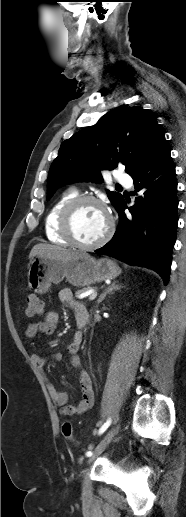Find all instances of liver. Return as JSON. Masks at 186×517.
<instances>
[{"mask_svg":"<svg viewBox=\"0 0 186 517\" xmlns=\"http://www.w3.org/2000/svg\"><path fill=\"white\" fill-rule=\"evenodd\" d=\"M50 258L58 260H70L83 257H89L88 254L79 251H72L60 246L49 245V244H37L35 245L29 255V258L33 257Z\"/></svg>","mask_w":186,"mask_h":517,"instance_id":"1","label":"liver"}]
</instances>
